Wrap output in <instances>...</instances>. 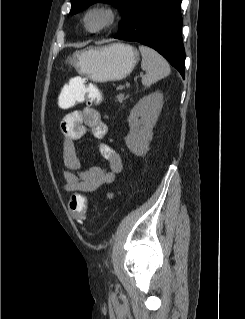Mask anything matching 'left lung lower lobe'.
<instances>
[{
	"instance_id": "0a47b994",
	"label": "left lung lower lobe",
	"mask_w": 245,
	"mask_h": 319,
	"mask_svg": "<svg viewBox=\"0 0 245 319\" xmlns=\"http://www.w3.org/2000/svg\"><path fill=\"white\" fill-rule=\"evenodd\" d=\"M181 1L139 0L127 23L114 38L152 47L184 77Z\"/></svg>"
}]
</instances>
